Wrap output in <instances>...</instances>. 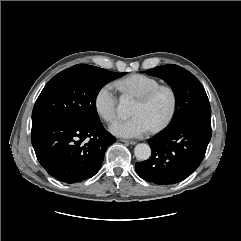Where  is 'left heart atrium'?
Segmentation results:
<instances>
[{
	"label": "left heart atrium",
	"instance_id": "left-heart-atrium-1",
	"mask_svg": "<svg viewBox=\"0 0 241 241\" xmlns=\"http://www.w3.org/2000/svg\"><path fill=\"white\" fill-rule=\"evenodd\" d=\"M151 128L143 115L136 114L127 119L115 120L110 126V131L116 136L135 138L147 134Z\"/></svg>",
	"mask_w": 241,
	"mask_h": 241
}]
</instances>
